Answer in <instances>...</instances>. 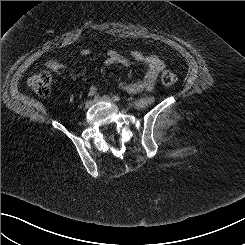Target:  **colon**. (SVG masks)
<instances>
[{
  "instance_id": "obj_1",
  "label": "colon",
  "mask_w": 245,
  "mask_h": 245,
  "mask_svg": "<svg viewBox=\"0 0 245 245\" xmlns=\"http://www.w3.org/2000/svg\"><path fill=\"white\" fill-rule=\"evenodd\" d=\"M51 74L44 69H40L27 79L28 87L40 97H48L51 92ZM161 81L165 86H171L177 81V76L169 70L162 73Z\"/></svg>"
}]
</instances>
